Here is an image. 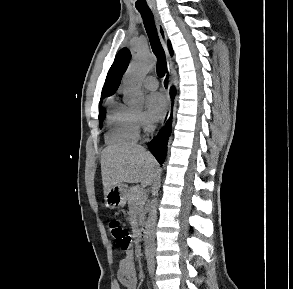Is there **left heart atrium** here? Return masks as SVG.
<instances>
[{"label":"left heart atrium","instance_id":"39dd6f15","mask_svg":"<svg viewBox=\"0 0 293 289\" xmlns=\"http://www.w3.org/2000/svg\"><path fill=\"white\" fill-rule=\"evenodd\" d=\"M146 107L148 117L152 121H159L167 111V101L162 94L153 92L146 98Z\"/></svg>","mask_w":293,"mask_h":289}]
</instances>
